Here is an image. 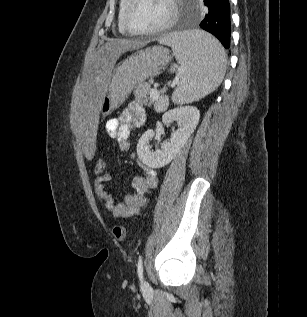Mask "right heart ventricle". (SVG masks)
Returning a JSON list of instances; mask_svg holds the SVG:
<instances>
[{"mask_svg": "<svg viewBox=\"0 0 307 317\" xmlns=\"http://www.w3.org/2000/svg\"><path fill=\"white\" fill-rule=\"evenodd\" d=\"M126 3H127V0H120L119 9H118V19H117L118 31L123 35H127L129 33L125 29L124 24H123V12H124V8H125Z\"/></svg>", "mask_w": 307, "mask_h": 317, "instance_id": "1", "label": "right heart ventricle"}]
</instances>
